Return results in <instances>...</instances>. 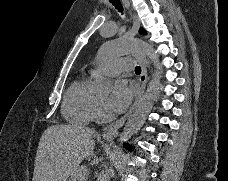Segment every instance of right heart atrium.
<instances>
[{"instance_id":"right-heart-atrium-1","label":"right heart atrium","mask_w":228,"mask_h":181,"mask_svg":"<svg viewBox=\"0 0 228 181\" xmlns=\"http://www.w3.org/2000/svg\"><path fill=\"white\" fill-rule=\"evenodd\" d=\"M104 113H105L104 106L102 105V103H99L97 106L94 118L97 120H101L104 116Z\"/></svg>"}]
</instances>
